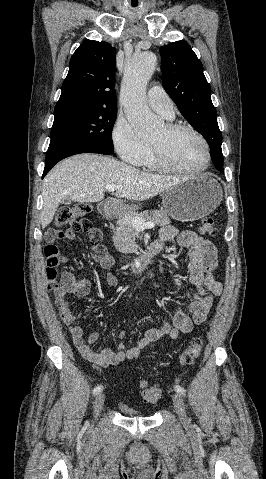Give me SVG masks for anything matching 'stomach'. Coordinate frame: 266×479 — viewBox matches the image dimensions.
Masks as SVG:
<instances>
[{"label":"stomach","instance_id":"stomach-1","mask_svg":"<svg viewBox=\"0 0 266 479\" xmlns=\"http://www.w3.org/2000/svg\"><path fill=\"white\" fill-rule=\"evenodd\" d=\"M222 200L220 184L208 173L185 179L171 186L162 198L164 211L178 221H194L213 212ZM131 208L113 204L110 214L125 212Z\"/></svg>","mask_w":266,"mask_h":479}]
</instances>
